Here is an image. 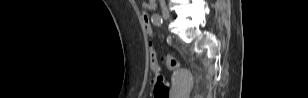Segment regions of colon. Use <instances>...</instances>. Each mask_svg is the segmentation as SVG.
Here are the masks:
<instances>
[{"label": "colon", "instance_id": "5ec220e1", "mask_svg": "<svg viewBox=\"0 0 308 98\" xmlns=\"http://www.w3.org/2000/svg\"><path fill=\"white\" fill-rule=\"evenodd\" d=\"M140 15L143 16L142 19L145 22L143 26L144 31H146L148 35H151L154 29V26L152 24V21L150 20L151 19L150 16L147 15V10L141 9ZM164 61H165L166 66L170 70H177L180 67V62L173 56H169V55L166 56L164 58ZM150 66H151V69L155 73L159 71L157 55L152 45L150 47ZM151 89L153 90V94L155 98H168L169 96V83L161 76H157L152 81Z\"/></svg>", "mask_w": 308, "mask_h": 98}]
</instances>
